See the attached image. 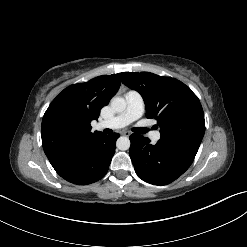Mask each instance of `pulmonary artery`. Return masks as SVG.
<instances>
[{
    "label": "pulmonary artery",
    "instance_id": "1",
    "mask_svg": "<svg viewBox=\"0 0 247 247\" xmlns=\"http://www.w3.org/2000/svg\"><path fill=\"white\" fill-rule=\"evenodd\" d=\"M126 109L119 115L102 121L98 124L99 128L120 129L142 116L144 112V101L141 94L135 90H129L125 93ZM154 141L159 140L158 131L150 134Z\"/></svg>",
    "mask_w": 247,
    "mask_h": 247
}]
</instances>
